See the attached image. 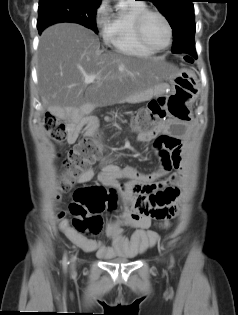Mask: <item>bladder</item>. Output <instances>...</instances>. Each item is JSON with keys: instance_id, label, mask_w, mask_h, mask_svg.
<instances>
[{"instance_id": "obj_1", "label": "bladder", "mask_w": 238, "mask_h": 315, "mask_svg": "<svg viewBox=\"0 0 238 315\" xmlns=\"http://www.w3.org/2000/svg\"><path fill=\"white\" fill-rule=\"evenodd\" d=\"M130 260H131L130 258H123V259H119L118 262L125 263V262H129Z\"/></svg>"}]
</instances>
